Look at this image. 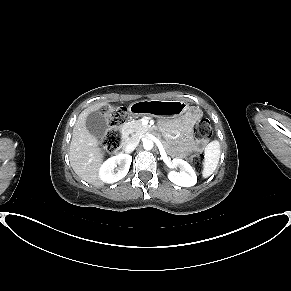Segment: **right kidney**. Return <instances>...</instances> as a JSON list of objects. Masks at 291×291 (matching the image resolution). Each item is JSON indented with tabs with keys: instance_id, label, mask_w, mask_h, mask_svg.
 Instances as JSON below:
<instances>
[{
	"instance_id": "right-kidney-1",
	"label": "right kidney",
	"mask_w": 291,
	"mask_h": 291,
	"mask_svg": "<svg viewBox=\"0 0 291 291\" xmlns=\"http://www.w3.org/2000/svg\"><path fill=\"white\" fill-rule=\"evenodd\" d=\"M131 162L132 157L128 154L113 156L100 166L99 178L105 183H115L127 175Z\"/></svg>"
}]
</instances>
